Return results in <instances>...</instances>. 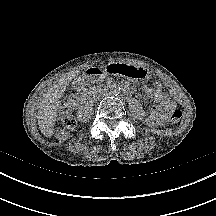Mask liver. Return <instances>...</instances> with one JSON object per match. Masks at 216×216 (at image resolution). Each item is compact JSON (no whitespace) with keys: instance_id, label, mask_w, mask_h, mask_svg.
Returning <instances> with one entry per match:
<instances>
[{"instance_id":"1","label":"liver","mask_w":216,"mask_h":216,"mask_svg":"<svg viewBox=\"0 0 216 216\" xmlns=\"http://www.w3.org/2000/svg\"><path fill=\"white\" fill-rule=\"evenodd\" d=\"M66 88V82L61 81L60 84L55 85L46 94L39 106L37 114L39 129L46 137H51L54 133V125L57 118V111L61 105V97Z\"/></svg>"}]
</instances>
